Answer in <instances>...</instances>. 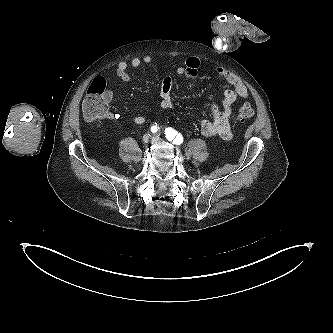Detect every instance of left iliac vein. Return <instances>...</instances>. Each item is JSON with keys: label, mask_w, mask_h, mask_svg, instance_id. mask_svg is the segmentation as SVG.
<instances>
[{"label": "left iliac vein", "mask_w": 333, "mask_h": 333, "mask_svg": "<svg viewBox=\"0 0 333 333\" xmlns=\"http://www.w3.org/2000/svg\"><path fill=\"white\" fill-rule=\"evenodd\" d=\"M161 139L159 138L158 135H156L155 137H153V142L156 143V142H160Z\"/></svg>", "instance_id": "obj_1"}]
</instances>
